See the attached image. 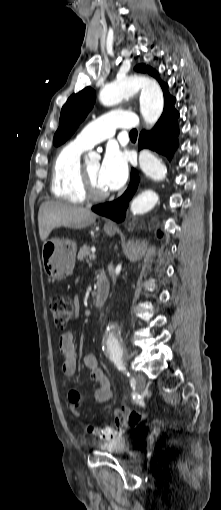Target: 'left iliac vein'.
<instances>
[{
  "mask_svg": "<svg viewBox=\"0 0 221 510\" xmlns=\"http://www.w3.org/2000/svg\"><path fill=\"white\" fill-rule=\"evenodd\" d=\"M134 379L136 382V386L139 391H143L146 385V379L145 376L142 374H135Z\"/></svg>",
  "mask_w": 221,
  "mask_h": 510,
  "instance_id": "4c4485c4",
  "label": "left iliac vein"
}]
</instances>
